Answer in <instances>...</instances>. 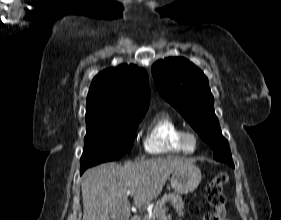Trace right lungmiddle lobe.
<instances>
[{
	"instance_id": "obj_1",
	"label": "right lung middle lobe",
	"mask_w": 281,
	"mask_h": 220,
	"mask_svg": "<svg viewBox=\"0 0 281 220\" xmlns=\"http://www.w3.org/2000/svg\"><path fill=\"white\" fill-rule=\"evenodd\" d=\"M144 115L119 119L86 120L81 171L102 162L117 160L132 149L135 132Z\"/></svg>"
}]
</instances>
